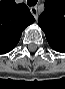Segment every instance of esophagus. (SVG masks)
<instances>
[{"mask_svg":"<svg viewBox=\"0 0 65 89\" xmlns=\"http://www.w3.org/2000/svg\"><path fill=\"white\" fill-rule=\"evenodd\" d=\"M30 11H31L32 15L35 17V19H37V17H38L37 7H35V6L31 7Z\"/></svg>","mask_w":65,"mask_h":89,"instance_id":"obj_1","label":"esophagus"}]
</instances>
